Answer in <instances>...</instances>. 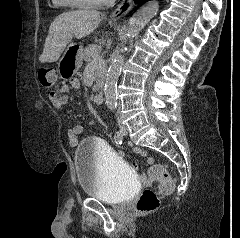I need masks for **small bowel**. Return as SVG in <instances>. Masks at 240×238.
Segmentation results:
<instances>
[{
  "label": "small bowel",
  "instance_id": "1",
  "mask_svg": "<svg viewBox=\"0 0 240 238\" xmlns=\"http://www.w3.org/2000/svg\"><path fill=\"white\" fill-rule=\"evenodd\" d=\"M80 84L79 81L76 79L71 80L70 85H62L61 88L57 91H53L49 95V99L52 103V105L59 109L62 110L64 109L69 102L68 96L66 95L67 92L70 91L71 88L74 89H79ZM83 132V127L81 125H74L73 127L69 128L67 130V137L70 146L75 147L79 143V135ZM131 147L133 148V152L137 155H140L142 157H147L146 151L138 148L139 144L138 143H132ZM118 154H125V149H118ZM146 163L148 165L153 163L152 158H147ZM131 169H138V164H131ZM141 174L143 173L142 171L140 172ZM144 186L145 187H154L155 183L154 182H149L148 179L144 180Z\"/></svg>",
  "mask_w": 240,
  "mask_h": 238
}]
</instances>
